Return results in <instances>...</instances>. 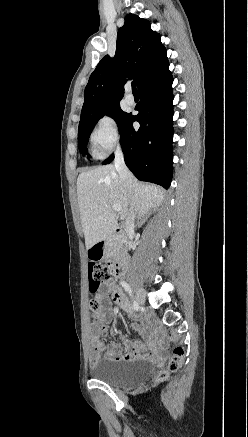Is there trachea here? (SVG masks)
<instances>
[{"label": "trachea", "mask_w": 248, "mask_h": 437, "mask_svg": "<svg viewBox=\"0 0 248 437\" xmlns=\"http://www.w3.org/2000/svg\"><path fill=\"white\" fill-rule=\"evenodd\" d=\"M132 91H133V93L137 92L136 82L135 81L132 82Z\"/></svg>", "instance_id": "obj_1"}]
</instances>
